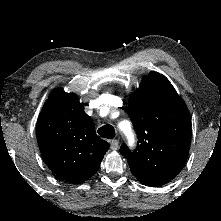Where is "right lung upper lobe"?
<instances>
[{"label":"right lung upper lobe","mask_w":221,"mask_h":221,"mask_svg":"<svg viewBox=\"0 0 221 221\" xmlns=\"http://www.w3.org/2000/svg\"><path fill=\"white\" fill-rule=\"evenodd\" d=\"M37 141L47 166L60 179L81 183L99 169L109 144L95 133V125L74 93L52 91L36 125Z\"/></svg>","instance_id":"right-lung-upper-lobe-1"}]
</instances>
